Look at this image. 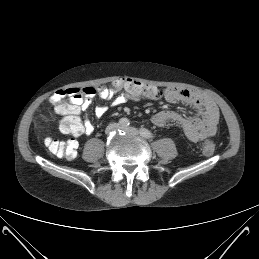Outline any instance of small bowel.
<instances>
[{
  "instance_id": "c3829d8e",
  "label": "small bowel",
  "mask_w": 259,
  "mask_h": 259,
  "mask_svg": "<svg viewBox=\"0 0 259 259\" xmlns=\"http://www.w3.org/2000/svg\"><path fill=\"white\" fill-rule=\"evenodd\" d=\"M149 87L152 93L148 95L133 94L126 89L113 85L111 87L88 86L79 89V91H74V88H71L56 92L49 100L54 105L56 113L62 117L61 122L68 119H76L79 122V130L75 136L90 135L93 132V125L89 121L82 122L80 115L83 111H87L90 108L95 96L109 101L113 107L122 105L128 101L138 102L142 98L182 102L196 109L198 117L188 118L175 111L162 110L152 116V123L158 127H162L170 122L174 123L182 128L185 136L192 142H199L210 138L216 133L219 110L211 99L194 89ZM122 89L124 91L119 92ZM64 96H68L69 100L66 103H61ZM57 101L60 102L58 103ZM94 112L96 117L101 118L106 114L107 107L96 106Z\"/></svg>"
}]
</instances>
